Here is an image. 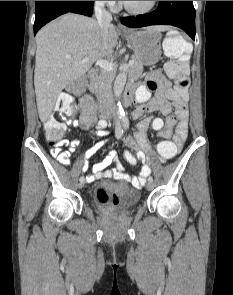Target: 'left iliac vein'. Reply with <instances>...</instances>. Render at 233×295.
<instances>
[{
    "label": "left iliac vein",
    "mask_w": 233,
    "mask_h": 295,
    "mask_svg": "<svg viewBox=\"0 0 233 295\" xmlns=\"http://www.w3.org/2000/svg\"><path fill=\"white\" fill-rule=\"evenodd\" d=\"M146 188L148 190H152L153 189V183L152 182H148L147 185H146Z\"/></svg>",
    "instance_id": "left-iliac-vein-1"
}]
</instances>
